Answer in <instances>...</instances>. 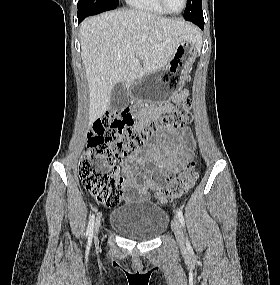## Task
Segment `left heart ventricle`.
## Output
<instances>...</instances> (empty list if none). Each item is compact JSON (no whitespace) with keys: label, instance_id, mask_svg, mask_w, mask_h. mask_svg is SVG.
<instances>
[{"label":"left heart ventricle","instance_id":"left-heart-ventricle-1","mask_svg":"<svg viewBox=\"0 0 280 285\" xmlns=\"http://www.w3.org/2000/svg\"><path fill=\"white\" fill-rule=\"evenodd\" d=\"M170 10L177 12L183 7V0H166Z\"/></svg>","mask_w":280,"mask_h":285}]
</instances>
